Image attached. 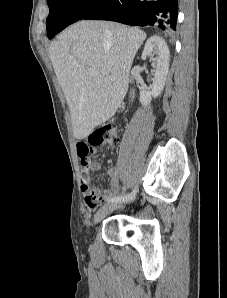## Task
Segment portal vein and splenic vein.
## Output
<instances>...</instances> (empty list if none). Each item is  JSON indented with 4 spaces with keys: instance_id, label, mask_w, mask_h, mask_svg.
I'll return each mask as SVG.
<instances>
[{
    "instance_id": "obj_1",
    "label": "portal vein and splenic vein",
    "mask_w": 227,
    "mask_h": 298,
    "mask_svg": "<svg viewBox=\"0 0 227 298\" xmlns=\"http://www.w3.org/2000/svg\"><path fill=\"white\" fill-rule=\"evenodd\" d=\"M90 73H91L93 76H97V75H98V72L95 71V70H90Z\"/></svg>"
}]
</instances>
